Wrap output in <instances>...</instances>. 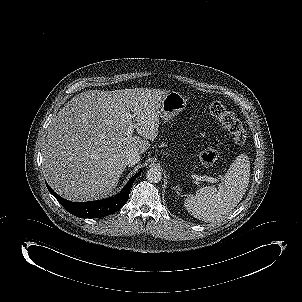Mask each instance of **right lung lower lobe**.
<instances>
[{
  "label": "right lung lower lobe",
  "instance_id": "1",
  "mask_svg": "<svg viewBox=\"0 0 302 302\" xmlns=\"http://www.w3.org/2000/svg\"><path fill=\"white\" fill-rule=\"evenodd\" d=\"M141 173L138 172L134 175L128 183L124 186L122 191L115 197L109 199H103L99 201L91 202H71L65 200L56 194L49 185L47 188L49 192L57 199V201L71 214L80 218H98L110 215L119 209H121L129 198L130 189L136 179V177Z\"/></svg>",
  "mask_w": 302,
  "mask_h": 302
}]
</instances>
